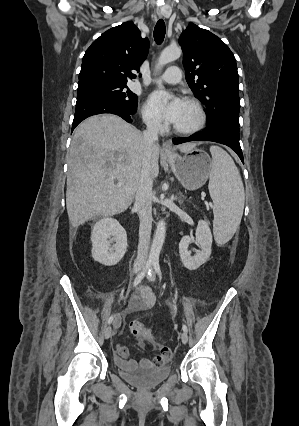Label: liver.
<instances>
[{"label":"liver","mask_w":299,"mask_h":426,"mask_svg":"<svg viewBox=\"0 0 299 426\" xmlns=\"http://www.w3.org/2000/svg\"><path fill=\"white\" fill-rule=\"evenodd\" d=\"M195 147L185 143L178 149L185 153ZM145 153L142 133L120 117L103 114L83 121L74 131L68 156L66 207L71 226L127 210L136 195ZM159 153L155 145L152 178L159 174Z\"/></svg>","instance_id":"1"}]
</instances>
